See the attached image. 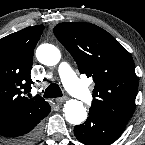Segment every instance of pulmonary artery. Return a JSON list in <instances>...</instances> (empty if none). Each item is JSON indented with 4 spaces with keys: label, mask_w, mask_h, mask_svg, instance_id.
Listing matches in <instances>:
<instances>
[{
    "label": "pulmonary artery",
    "mask_w": 145,
    "mask_h": 145,
    "mask_svg": "<svg viewBox=\"0 0 145 145\" xmlns=\"http://www.w3.org/2000/svg\"><path fill=\"white\" fill-rule=\"evenodd\" d=\"M59 74L68 90L76 96L78 99L85 103L92 101V95L90 91L82 84V82L76 77L71 67L63 62L59 66Z\"/></svg>",
    "instance_id": "pulmonary-artery-1"
}]
</instances>
